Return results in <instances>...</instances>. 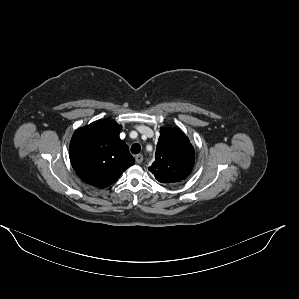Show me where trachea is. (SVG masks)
Returning <instances> with one entry per match:
<instances>
[{
	"mask_svg": "<svg viewBox=\"0 0 299 299\" xmlns=\"http://www.w3.org/2000/svg\"><path fill=\"white\" fill-rule=\"evenodd\" d=\"M141 151V146L140 144L138 143H134L132 146H131V152L134 153V154H137Z\"/></svg>",
	"mask_w": 299,
	"mask_h": 299,
	"instance_id": "3493384b",
	"label": "trachea"
}]
</instances>
